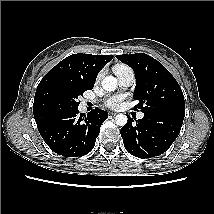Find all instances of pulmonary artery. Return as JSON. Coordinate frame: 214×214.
<instances>
[{"label":"pulmonary artery","mask_w":214,"mask_h":214,"mask_svg":"<svg viewBox=\"0 0 214 214\" xmlns=\"http://www.w3.org/2000/svg\"><path fill=\"white\" fill-rule=\"evenodd\" d=\"M114 72H115V74L118 78L119 84L121 86L128 87L133 83L134 72L132 71L131 68H129V67L119 68V69L115 70ZM143 117H144V113L140 112L138 114V118L142 119Z\"/></svg>","instance_id":"obj_1"}]
</instances>
